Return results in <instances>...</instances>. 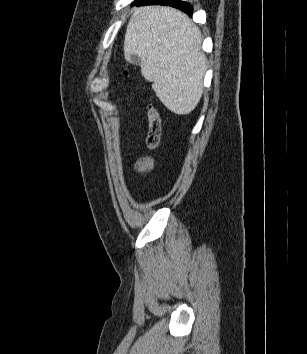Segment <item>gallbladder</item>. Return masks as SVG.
Here are the masks:
<instances>
[{
    "instance_id": "obj_1",
    "label": "gallbladder",
    "mask_w": 307,
    "mask_h": 354,
    "mask_svg": "<svg viewBox=\"0 0 307 354\" xmlns=\"http://www.w3.org/2000/svg\"><path fill=\"white\" fill-rule=\"evenodd\" d=\"M127 60H128V62H130L131 64L136 65V66L140 65V63H141L140 58L136 55L128 56Z\"/></svg>"
}]
</instances>
